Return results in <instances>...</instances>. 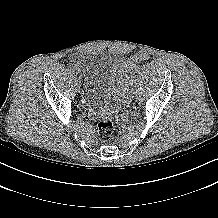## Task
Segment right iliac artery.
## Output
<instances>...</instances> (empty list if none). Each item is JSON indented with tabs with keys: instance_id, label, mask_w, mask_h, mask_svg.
I'll return each instance as SVG.
<instances>
[{
	"instance_id": "obj_1",
	"label": "right iliac artery",
	"mask_w": 218,
	"mask_h": 218,
	"mask_svg": "<svg viewBox=\"0 0 218 218\" xmlns=\"http://www.w3.org/2000/svg\"><path fill=\"white\" fill-rule=\"evenodd\" d=\"M70 69H71L73 72H75V70H76V68H75L74 66H72V65H70Z\"/></svg>"
}]
</instances>
